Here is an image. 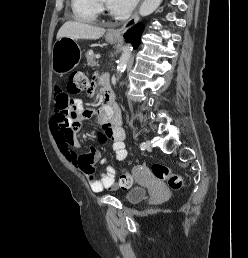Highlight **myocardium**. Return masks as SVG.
I'll return each mask as SVG.
<instances>
[{
    "label": "myocardium",
    "instance_id": "myocardium-1",
    "mask_svg": "<svg viewBox=\"0 0 248 258\" xmlns=\"http://www.w3.org/2000/svg\"><path fill=\"white\" fill-rule=\"evenodd\" d=\"M98 10L99 12H105L104 0H97Z\"/></svg>",
    "mask_w": 248,
    "mask_h": 258
}]
</instances>
